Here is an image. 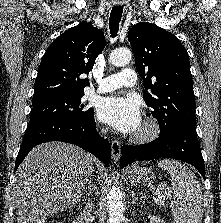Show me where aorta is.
<instances>
[{"instance_id":"1","label":"aorta","mask_w":221,"mask_h":223,"mask_svg":"<svg viewBox=\"0 0 221 223\" xmlns=\"http://www.w3.org/2000/svg\"><path fill=\"white\" fill-rule=\"evenodd\" d=\"M132 59L129 49H119L111 52L109 62L114 66H125ZM108 213L110 223H121L123 218L122 192L117 186H112L108 194Z\"/></svg>"}]
</instances>
